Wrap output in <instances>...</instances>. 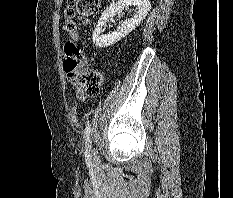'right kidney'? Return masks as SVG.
Listing matches in <instances>:
<instances>
[{
  "instance_id": "1",
  "label": "right kidney",
  "mask_w": 233,
  "mask_h": 198,
  "mask_svg": "<svg viewBox=\"0 0 233 198\" xmlns=\"http://www.w3.org/2000/svg\"><path fill=\"white\" fill-rule=\"evenodd\" d=\"M129 6L136 7L135 14L130 19L120 22L116 31L109 34H103V27L107 20L115 14L121 13ZM150 9L151 3L149 0H118L117 2L110 4L101 14L93 32V43L99 48L109 47L117 43L143 21Z\"/></svg>"
}]
</instances>
